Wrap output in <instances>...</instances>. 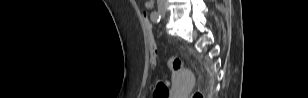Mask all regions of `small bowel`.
Instances as JSON below:
<instances>
[{"label":"small bowel","mask_w":308,"mask_h":98,"mask_svg":"<svg viewBox=\"0 0 308 98\" xmlns=\"http://www.w3.org/2000/svg\"><path fill=\"white\" fill-rule=\"evenodd\" d=\"M145 7H146L147 9L152 8V7H153V1H152V0L146 1V2H145Z\"/></svg>","instance_id":"obj_1"}]
</instances>
